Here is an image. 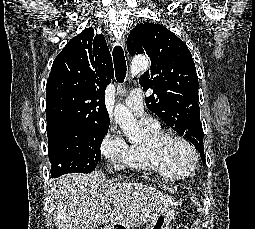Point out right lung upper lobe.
Instances as JSON below:
<instances>
[{"mask_svg":"<svg viewBox=\"0 0 255 229\" xmlns=\"http://www.w3.org/2000/svg\"><path fill=\"white\" fill-rule=\"evenodd\" d=\"M114 77L104 36L87 28L55 58L46 85L47 126L109 124L105 89Z\"/></svg>","mask_w":255,"mask_h":229,"instance_id":"right-lung-upper-lobe-1","label":"right lung upper lobe"}]
</instances>
